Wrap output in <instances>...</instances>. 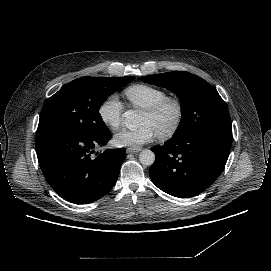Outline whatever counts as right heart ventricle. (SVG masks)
Returning <instances> with one entry per match:
<instances>
[{"label": "right heart ventricle", "mask_w": 271, "mask_h": 271, "mask_svg": "<svg viewBox=\"0 0 271 271\" xmlns=\"http://www.w3.org/2000/svg\"><path fill=\"white\" fill-rule=\"evenodd\" d=\"M124 95L136 108L145 109L156 102L168 97V93L159 87L139 83L127 87Z\"/></svg>", "instance_id": "right-heart-ventricle-1"}]
</instances>
